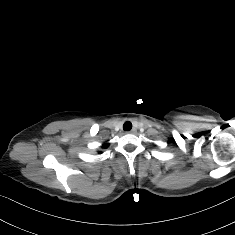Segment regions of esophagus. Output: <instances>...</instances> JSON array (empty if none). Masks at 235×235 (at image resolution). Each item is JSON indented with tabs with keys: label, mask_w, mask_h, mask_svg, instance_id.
<instances>
[{
	"label": "esophagus",
	"mask_w": 235,
	"mask_h": 235,
	"mask_svg": "<svg viewBox=\"0 0 235 235\" xmlns=\"http://www.w3.org/2000/svg\"><path fill=\"white\" fill-rule=\"evenodd\" d=\"M136 132V129L135 128H133L129 133H135Z\"/></svg>",
	"instance_id": "1"
}]
</instances>
